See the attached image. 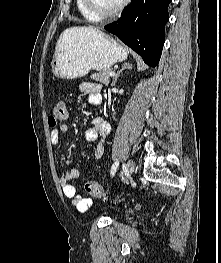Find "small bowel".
<instances>
[{
    "instance_id": "c3829d8e",
    "label": "small bowel",
    "mask_w": 221,
    "mask_h": 263,
    "mask_svg": "<svg viewBox=\"0 0 221 263\" xmlns=\"http://www.w3.org/2000/svg\"><path fill=\"white\" fill-rule=\"evenodd\" d=\"M79 90L88 95L90 104L99 105L102 101L101 85L94 82H84L79 85ZM69 131L67 124H61L53 128L51 139L53 144H58L60 134H65ZM110 131L109 123L101 117L94 118L91 126L86 131V139L89 142H96L94 153L96 157L103 154V139ZM69 163V162H67ZM80 177V171L76 167H70L69 170L60 178L59 183L62 188L63 194L66 198L70 199L71 204L80 211L86 210L91 204L90 198L82 197L77 193L76 188L70 184V181Z\"/></svg>"
}]
</instances>
